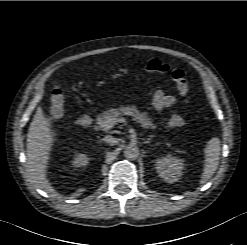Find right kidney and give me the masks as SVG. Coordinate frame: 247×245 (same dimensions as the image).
Wrapping results in <instances>:
<instances>
[{
    "label": "right kidney",
    "instance_id": "right-kidney-1",
    "mask_svg": "<svg viewBox=\"0 0 247 245\" xmlns=\"http://www.w3.org/2000/svg\"><path fill=\"white\" fill-rule=\"evenodd\" d=\"M89 163V158L84 153H78L74 156L72 165L75 167L86 166Z\"/></svg>",
    "mask_w": 247,
    "mask_h": 245
}]
</instances>
